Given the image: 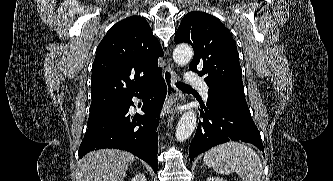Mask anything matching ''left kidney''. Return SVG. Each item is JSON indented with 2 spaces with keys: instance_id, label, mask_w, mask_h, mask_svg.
Wrapping results in <instances>:
<instances>
[{
  "instance_id": "5707ae66",
  "label": "left kidney",
  "mask_w": 333,
  "mask_h": 181,
  "mask_svg": "<svg viewBox=\"0 0 333 181\" xmlns=\"http://www.w3.org/2000/svg\"><path fill=\"white\" fill-rule=\"evenodd\" d=\"M207 181H225L224 179L220 178V177H214V176H210L208 177Z\"/></svg>"
}]
</instances>
